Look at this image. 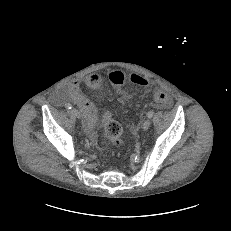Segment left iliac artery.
Here are the masks:
<instances>
[{"label": "left iliac artery", "mask_w": 231, "mask_h": 231, "mask_svg": "<svg viewBox=\"0 0 231 231\" xmlns=\"http://www.w3.org/2000/svg\"><path fill=\"white\" fill-rule=\"evenodd\" d=\"M153 114H154L153 111H149V112L147 113L148 118H152Z\"/></svg>", "instance_id": "1"}]
</instances>
